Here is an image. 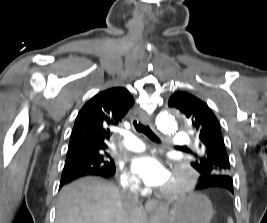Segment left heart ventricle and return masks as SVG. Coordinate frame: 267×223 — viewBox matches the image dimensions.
Returning a JSON list of instances; mask_svg holds the SVG:
<instances>
[{
    "label": "left heart ventricle",
    "instance_id": "left-heart-ventricle-1",
    "mask_svg": "<svg viewBox=\"0 0 267 223\" xmlns=\"http://www.w3.org/2000/svg\"><path fill=\"white\" fill-rule=\"evenodd\" d=\"M181 182L182 181H181L180 177H171L170 180L167 182V184L164 187L169 188V187H172L176 184H180Z\"/></svg>",
    "mask_w": 267,
    "mask_h": 223
}]
</instances>
